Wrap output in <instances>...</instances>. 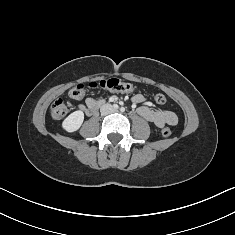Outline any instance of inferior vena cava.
<instances>
[{
  "label": "inferior vena cava",
  "instance_id": "602c4592",
  "mask_svg": "<svg viewBox=\"0 0 235 235\" xmlns=\"http://www.w3.org/2000/svg\"><path fill=\"white\" fill-rule=\"evenodd\" d=\"M100 112L102 115H107L114 112V108L111 104H105L101 107Z\"/></svg>",
  "mask_w": 235,
  "mask_h": 235
}]
</instances>
